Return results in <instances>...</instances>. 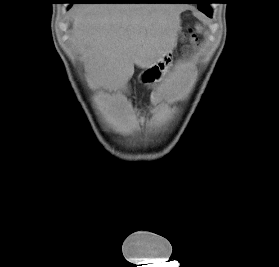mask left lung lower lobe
<instances>
[{"mask_svg":"<svg viewBox=\"0 0 279 267\" xmlns=\"http://www.w3.org/2000/svg\"><path fill=\"white\" fill-rule=\"evenodd\" d=\"M179 3H197L198 9L203 12L208 17H211L212 10L209 7V3H211L209 0H184L183 2Z\"/></svg>","mask_w":279,"mask_h":267,"instance_id":"left-lung-lower-lobe-1","label":"left lung lower lobe"}]
</instances>
